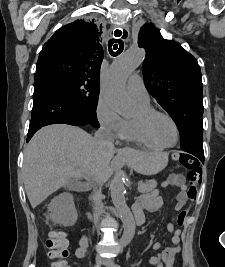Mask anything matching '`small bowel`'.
Segmentation results:
<instances>
[{"instance_id": "1", "label": "small bowel", "mask_w": 225, "mask_h": 267, "mask_svg": "<svg viewBox=\"0 0 225 267\" xmlns=\"http://www.w3.org/2000/svg\"><path fill=\"white\" fill-rule=\"evenodd\" d=\"M164 187H178L181 189L178 198L176 209L181 210L186 206L187 195H186V183L185 178L180 174L171 175L163 184ZM163 206V200L160 195L159 190H153L148 194L141 197L137 205L135 206L136 211L143 212L147 211H157ZM167 230L171 234L172 244L168 247L162 248L159 242L154 243L153 248L159 251V254L151 258V264L155 267H173L174 256L179 251V245L181 241V231L175 230L174 226L169 223L167 225ZM78 257L83 256V249L79 248L76 251Z\"/></svg>"}]
</instances>
